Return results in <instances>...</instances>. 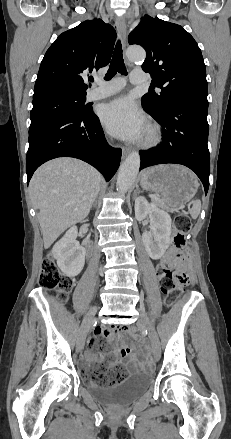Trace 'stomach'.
Wrapping results in <instances>:
<instances>
[{
  "mask_svg": "<svg viewBox=\"0 0 231 439\" xmlns=\"http://www.w3.org/2000/svg\"><path fill=\"white\" fill-rule=\"evenodd\" d=\"M141 186L161 196L166 208L185 205L197 192L196 175L179 165H159L145 170L140 177Z\"/></svg>",
  "mask_w": 231,
  "mask_h": 439,
  "instance_id": "obj_1",
  "label": "stomach"
}]
</instances>
